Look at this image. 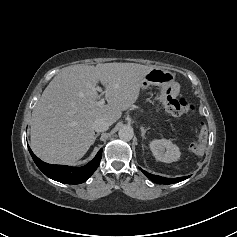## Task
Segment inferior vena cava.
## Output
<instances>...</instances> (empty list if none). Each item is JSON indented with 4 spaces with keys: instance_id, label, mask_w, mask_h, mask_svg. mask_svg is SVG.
<instances>
[{
    "instance_id": "inferior-vena-cava-1",
    "label": "inferior vena cava",
    "mask_w": 237,
    "mask_h": 237,
    "mask_svg": "<svg viewBox=\"0 0 237 237\" xmlns=\"http://www.w3.org/2000/svg\"><path fill=\"white\" fill-rule=\"evenodd\" d=\"M110 126V123L104 118H97L93 122V129L96 132L107 131Z\"/></svg>"
}]
</instances>
